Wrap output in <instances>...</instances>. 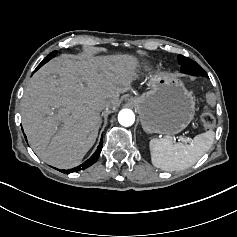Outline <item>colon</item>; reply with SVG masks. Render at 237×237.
<instances>
[{
	"label": "colon",
	"instance_id": "obj_1",
	"mask_svg": "<svg viewBox=\"0 0 237 237\" xmlns=\"http://www.w3.org/2000/svg\"><path fill=\"white\" fill-rule=\"evenodd\" d=\"M207 101L209 104L214 105L216 103V96L210 92L207 94ZM200 121L206 130H211L215 126V118L210 111H204L200 115Z\"/></svg>",
	"mask_w": 237,
	"mask_h": 237
}]
</instances>
